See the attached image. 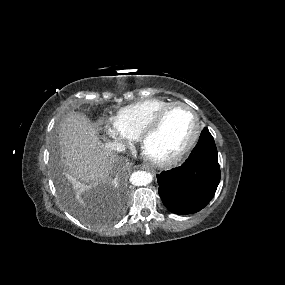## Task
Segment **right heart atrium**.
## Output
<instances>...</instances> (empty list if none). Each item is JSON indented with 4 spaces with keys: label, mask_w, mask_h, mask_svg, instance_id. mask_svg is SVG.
Returning <instances> with one entry per match:
<instances>
[{
    "label": "right heart atrium",
    "mask_w": 285,
    "mask_h": 285,
    "mask_svg": "<svg viewBox=\"0 0 285 285\" xmlns=\"http://www.w3.org/2000/svg\"><path fill=\"white\" fill-rule=\"evenodd\" d=\"M101 129L106 137L111 139L118 148H124L136 140L137 136L126 129L117 116L102 120Z\"/></svg>",
    "instance_id": "1"
}]
</instances>
